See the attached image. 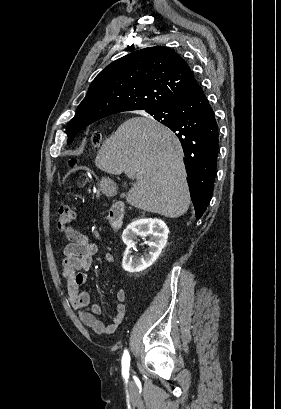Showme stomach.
<instances>
[{
    "instance_id": "stomach-1",
    "label": "stomach",
    "mask_w": 281,
    "mask_h": 409,
    "mask_svg": "<svg viewBox=\"0 0 281 409\" xmlns=\"http://www.w3.org/2000/svg\"><path fill=\"white\" fill-rule=\"evenodd\" d=\"M100 190L104 192V194H107V196H115L118 186L113 180H110V178H102V180H100Z\"/></svg>"
}]
</instances>
